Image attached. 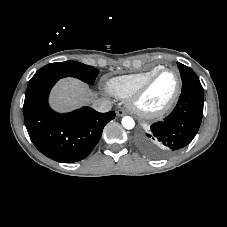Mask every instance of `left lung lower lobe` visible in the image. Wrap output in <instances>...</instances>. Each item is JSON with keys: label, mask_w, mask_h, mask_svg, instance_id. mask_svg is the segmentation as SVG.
I'll list each match as a JSON object with an SVG mask.
<instances>
[{"label": "left lung lower lobe", "mask_w": 227, "mask_h": 227, "mask_svg": "<svg viewBox=\"0 0 227 227\" xmlns=\"http://www.w3.org/2000/svg\"><path fill=\"white\" fill-rule=\"evenodd\" d=\"M203 98V91L182 90L171 115L138 134L139 149L150 157L161 158L187 146L200 127Z\"/></svg>", "instance_id": "left-lung-lower-lobe-1"}]
</instances>
